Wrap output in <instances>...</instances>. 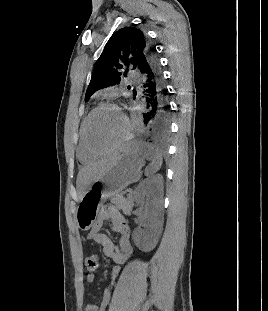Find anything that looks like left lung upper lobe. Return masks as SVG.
<instances>
[{
  "mask_svg": "<svg viewBox=\"0 0 268 311\" xmlns=\"http://www.w3.org/2000/svg\"><path fill=\"white\" fill-rule=\"evenodd\" d=\"M148 43L144 33L135 27H124L116 31L106 43L97 60L90 84L85 94V101L90 96L121 81L122 71H138L139 64L148 58Z\"/></svg>",
  "mask_w": 268,
  "mask_h": 311,
  "instance_id": "5c2ea615",
  "label": "left lung upper lobe"
}]
</instances>
